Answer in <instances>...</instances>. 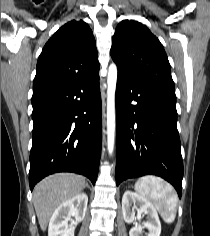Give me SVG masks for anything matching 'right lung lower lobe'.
Here are the masks:
<instances>
[{"mask_svg": "<svg viewBox=\"0 0 210 236\" xmlns=\"http://www.w3.org/2000/svg\"><path fill=\"white\" fill-rule=\"evenodd\" d=\"M98 72L32 100L31 190L56 172L82 174L95 184L102 125Z\"/></svg>", "mask_w": 210, "mask_h": 236, "instance_id": "right-lung-lower-lobe-1", "label": "right lung lower lobe"}]
</instances>
